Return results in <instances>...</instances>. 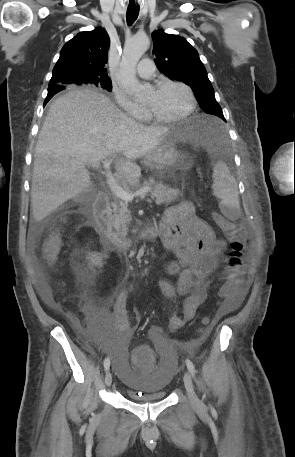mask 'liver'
<instances>
[{"instance_id":"liver-1","label":"liver","mask_w":295,"mask_h":457,"mask_svg":"<svg viewBox=\"0 0 295 457\" xmlns=\"http://www.w3.org/2000/svg\"><path fill=\"white\" fill-rule=\"evenodd\" d=\"M163 126L146 127L119 110L104 94L73 90L49 108L35 148L31 185L33 218L41 221L66 201L90 190L86 166L121 153L115 169L126 182L141 176L137 158L153 151L171 132Z\"/></svg>"}]
</instances>
